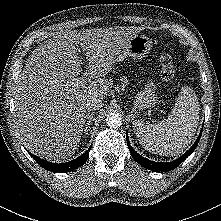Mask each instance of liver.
<instances>
[{
    "label": "liver",
    "instance_id": "liver-1",
    "mask_svg": "<svg viewBox=\"0 0 221 221\" xmlns=\"http://www.w3.org/2000/svg\"><path fill=\"white\" fill-rule=\"evenodd\" d=\"M138 27H109L60 33L29 56L15 90L14 124L25 147L49 161H62L78 149L88 118L86 103L103 100L113 83L105 79ZM78 46L86 56L88 84ZM74 84L66 87L65 82Z\"/></svg>",
    "mask_w": 221,
    "mask_h": 221
}]
</instances>
